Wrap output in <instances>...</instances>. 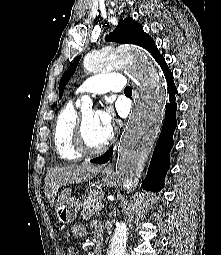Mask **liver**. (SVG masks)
<instances>
[{
    "label": "liver",
    "instance_id": "1",
    "mask_svg": "<svg viewBox=\"0 0 221 255\" xmlns=\"http://www.w3.org/2000/svg\"><path fill=\"white\" fill-rule=\"evenodd\" d=\"M101 166H95L88 162L82 165L71 164L67 166H56L47 171L45 177L44 192L52 206L58 190L66 184H79L91 180L94 175L101 171Z\"/></svg>",
    "mask_w": 221,
    "mask_h": 255
}]
</instances>
